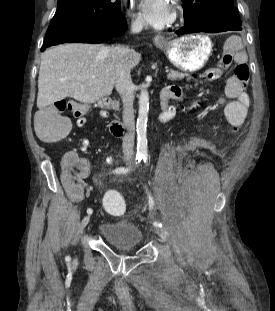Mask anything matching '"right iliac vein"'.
<instances>
[{"label":"right iliac vein","instance_id":"1","mask_svg":"<svg viewBox=\"0 0 275 311\" xmlns=\"http://www.w3.org/2000/svg\"><path fill=\"white\" fill-rule=\"evenodd\" d=\"M89 220H90V215L85 216L81 222L80 228L84 229L87 226V224L89 223Z\"/></svg>","mask_w":275,"mask_h":311}]
</instances>
